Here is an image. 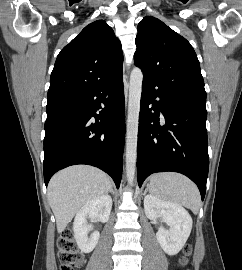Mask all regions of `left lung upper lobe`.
I'll list each match as a JSON object with an SVG mask.
<instances>
[{
    "label": "left lung upper lobe",
    "instance_id": "obj_1",
    "mask_svg": "<svg viewBox=\"0 0 242 270\" xmlns=\"http://www.w3.org/2000/svg\"><path fill=\"white\" fill-rule=\"evenodd\" d=\"M137 29L134 62L144 78L173 94L206 99L200 64L191 44L152 16L144 17Z\"/></svg>",
    "mask_w": 242,
    "mask_h": 270
}]
</instances>
